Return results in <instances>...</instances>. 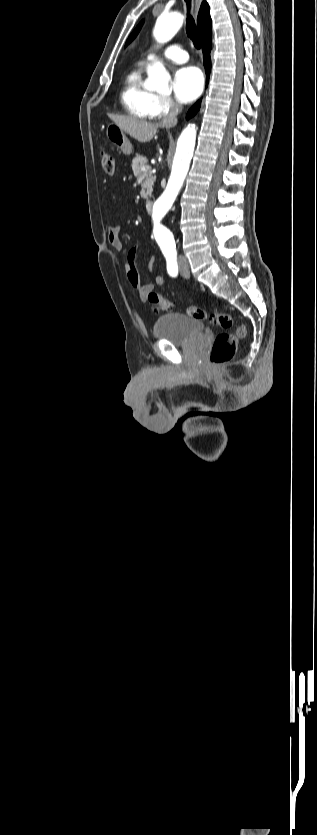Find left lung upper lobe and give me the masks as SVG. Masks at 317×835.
I'll return each instance as SVG.
<instances>
[{
	"instance_id": "5c2ea615",
	"label": "left lung upper lobe",
	"mask_w": 317,
	"mask_h": 835,
	"mask_svg": "<svg viewBox=\"0 0 317 835\" xmlns=\"http://www.w3.org/2000/svg\"><path fill=\"white\" fill-rule=\"evenodd\" d=\"M142 24H143V21L137 26V28L130 35V37L128 38V40L126 42V45L129 44L137 36V34L139 33V31L141 29Z\"/></svg>"
}]
</instances>
